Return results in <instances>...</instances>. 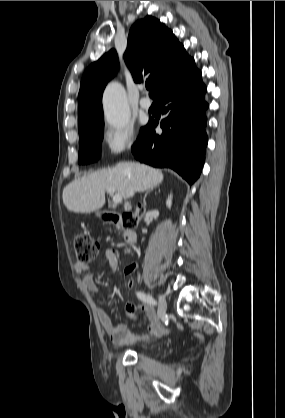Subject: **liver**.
<instances>
[{
  "instance_id": "obj_1",
  "label": "liver",
  "mask_w": 285,
  "mask_h": 418,
  "mask_svg": "<svg viewBox=\"0 0 285 418\" xmlns=\"http://www.w3.org/2000/svg\"><path fill=\"white\" fill-rule=\"evenodd\" d=\"M162 181L163 173L158 169L137 162H119L112 168L75 179L64 188L62 198L68 211L91 213L104 206L108 189L128 199Z\"/></svg>"
}]
</instances>
